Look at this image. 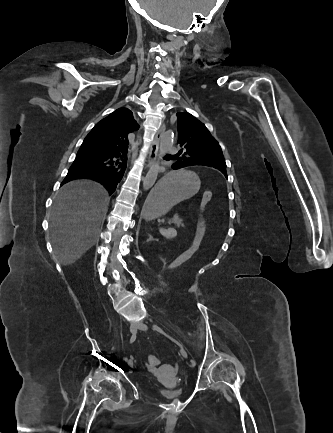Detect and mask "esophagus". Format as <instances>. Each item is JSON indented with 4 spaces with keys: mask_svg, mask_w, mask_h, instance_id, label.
<instances>
[{
    "mask_svg": "<svg viewBox=\"0 0 333 433\" xmlns=\"http://www.w3.org/2000/svg\"><path fill=\"white\" fill-rule=\"evenodd\" d=\"M163 130H164L163 128L160 129L155 135V138H154V140L151 144V147H150L148 159L146 162V168H150L154 164V162L157 158V154H158V150H159V143L161 140V133Z\"/></svg>",
    "mask_w": 333,
    "mask_h": 433,
    "instance_id": "34e87169",
    "label": "esophagus"
}]
</instances>
